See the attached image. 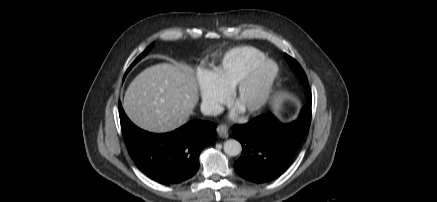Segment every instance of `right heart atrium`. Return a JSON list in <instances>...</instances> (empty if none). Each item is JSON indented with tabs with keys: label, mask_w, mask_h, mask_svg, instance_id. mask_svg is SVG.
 I'll return each instance as SVG.
<instances>
[{
	"label": "right heart atrium",
	"mask_w": 437,
	"mask_h": 202,
	"mask_svg": "<svg viewBox=\"0 0 437 202\" xmlns=\"http://www.w3.org/2000/svg\"><path fill=\"white\" fill-rule=\"evenodd\" d=\"M198 91L204 110L210 114L219 112L229 98V91L218 82L213 73L206 70L198 73Z\"/></svg>",
	"instance_id": "d8ad5b80"
}]
</instances>
